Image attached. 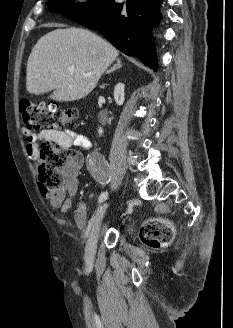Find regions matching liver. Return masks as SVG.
Listing matches in <instances>:
<instances>
[{
  "mask_svg": "<svg viewBox=\"0 0 233 328\" xmlns=\"http://www.w3.org/2000/svg\"><path fill=\"white\" fill-rule=\"evenodd\" d=\"M118 55L115 47L90 31L56 29L42 36L31 51L27 91L39 95L54 90L49 98L59 102L81 99L95 88Z\"/></svg>",
  "mask_w": 233,
  "mask_h": 328,
  "instance_id": "liver-1",
  "label": "liver"
}]
</instances>
